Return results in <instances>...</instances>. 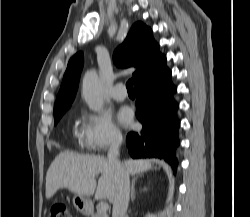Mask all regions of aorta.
Segmentation results:
<instances>
[{
	"label": "aorta",
	"mask_w": 250,
	"mask_h": 217,
	"mask_svg": "<svg viewBox=\"0 0 250 217\" xmlns=\"http://www.w3.org/2000/svg\"><path fill=\"white\" fill-rule=\"evenodd\" d=\"M82 96L92 111L103 108V85L95 71H88L83 77Z\"/></svg>",
	"instance_id": "762f6f07"
}]
</instances>
